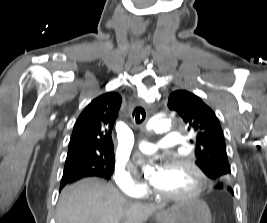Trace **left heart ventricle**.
I'll return each instance as SVG.
<instances>
[{"label": "left heart ventricle", "instance_id": "b2bd125f", "mask_svg": "<svg viewBox=\"0 0 267 223\" xmlns=\"http://www.w3.org/2000/svg\"><path fill=\"white\" fill-rule=\"evenodd\" d=\"M196 186V177L186 166L174 168L165 167L164 177L155 188L167 194H182L190 192Z\"/></svg>", "mask_w": 267, "mask_h": 223}]
</instances>
